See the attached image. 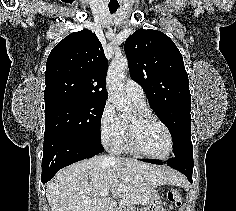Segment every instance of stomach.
<instances>
[{"label":"stomach","instance_id":"obj_1","mask_svg":"<svg viewBox=\"0 0 236 211\" xmlns=\"http://www.w3.org/2000/svg\"><path fill=\"white\" fill-rule=\"evenodd\" d=\"M140 211H162L160 195L156 189L153 191L151 198L147 201V204L141 207Z\"/></svg>","mask_w":236,"mask_h":211}]
</instances>
